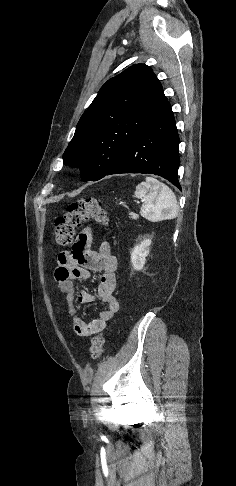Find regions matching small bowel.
Returning a JSON list of instances; mask_svg holds the SVG:
<instances>
[{
    "label": "small bowel",
    "mask_w": 236,
    "mask_h": 486,
    "mask_svg": "<svg viewBox=\"0 0 236 486\" xmlns=\"http://www.w3.org/2000/svg\"><path fill=\"white\" fill-rule=\"evenodd\" d=\"M92 233L89 229L84 230L70 251H63L58 254V266L55 269L54 277L59 290L65 294L68 304V314L72 320L74 332L81 337H90L102 332L109 320L119 310V303L114 296L116 288L117 260L111 254L110 245L102 241L98 251L91 249ZM91 271L101 272L100 281L96 293L85 290L76 291L75 282L88 279ZM100 300L106 308L99 312L97 318L85 322L75 305V302L82 304Z\"/></svg>",
    "instance_id": "1"
}]
</instances>
